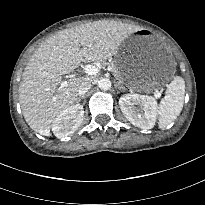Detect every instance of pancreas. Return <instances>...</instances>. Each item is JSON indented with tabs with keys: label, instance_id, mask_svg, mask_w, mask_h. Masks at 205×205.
Returning <instances> with one entry per match:
<instances>
[{
	"label": "pancreas",
	"instance_id": "obj_1",
	"mask_svg": "<svg viewBox=\"0 0 205 205\" xmlns=\"http://www.w3.org/2000/svg\"><path fill=\"white\" fill-rule=\"evenodd\" d=\"M103 65L104 66H109L110 67V69H111V71L114 73V74H118L119 75V70H118V67L115 65V64H113V63H106V62H103Z\"/></svg>",
	"mask_w": 205,
	"mask_h": 205
}]
</instances>
